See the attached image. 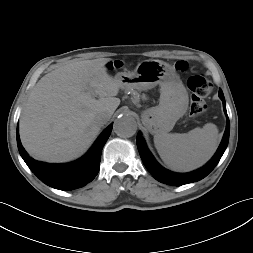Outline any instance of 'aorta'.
Returning a JSON list of instances; mask_svg holds the SVG:
<instances>
[{
  "label": "aorta",
  "instance_id": "762f6f07",
  "mask_svg": "<svg viewBox=\"0 0 253 253\" xmlns=\"http://www.w3.org/2000/svg\"><path fill=\"white\" fill-rule=\"evenodd\" d=\"M113 129L120 137H132L136 133L137 123L133 116L129 114H121L116 118Z\"/></svg>",
  "mask_w": 253,
  "mask_h": 253
}]
</instances>
